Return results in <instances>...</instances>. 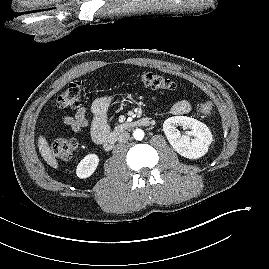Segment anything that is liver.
<instances>
[{"instance_id": "obj_1", "label": "liver", "mask_w": 269, "mask_h": 269, "mask_svg": "<svg viewBox=\"0 0 269 269\" xmlns=\"http://www.w3.org/2000/svg\"><path fill=\"white\" fill-rule=\"evenodd\" d=\"M38 148L41 156L53 168H58V163L50 150L47 140L44 136H40L38 139Z\"/></svg>"}]
</instances>
